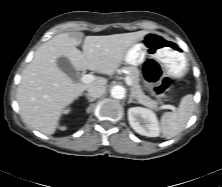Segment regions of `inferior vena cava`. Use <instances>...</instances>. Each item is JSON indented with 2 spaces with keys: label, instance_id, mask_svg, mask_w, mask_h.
<instances>
[{
  "label": "inferior vena cava",
  "instance_id": "1",
  "mask_svg": "<svg viewBox=\"0 0 222 187\" xmlns=\"http://www.w3.org/2000/svg\"><path fill=\"white\" fill-rule=\"evenodd\" d=\"M106 91L105 86L103 85H93L88 88V95L92 98L101 97Z\"/></svg>",
  "mask_w": 222,
  "mask_h": 187
}]
</instances>
